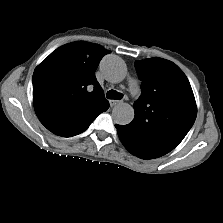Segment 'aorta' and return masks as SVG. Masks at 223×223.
<instances>
[{
	"label": "aorta",
	"instance_id": "obj_1",
	"mask_svg": "<svg viewBox=\"0 0 223 223\" xmlns=\"http://www.w3.org/2000/svg\"><path fill=\"white\" fill-rule=\"evenodd\" d=\"M100 69L110 82H121L126 76V65L114 55L106 56L100 63ZM134 109L128 103H119L112 110L113 121L118 125H127L134 119Z\"/></svg>",
	"mask_w": 223,
	"mask_h": 223
}]
</instances>
